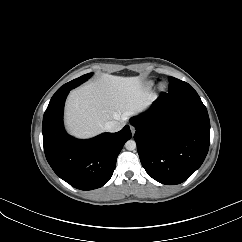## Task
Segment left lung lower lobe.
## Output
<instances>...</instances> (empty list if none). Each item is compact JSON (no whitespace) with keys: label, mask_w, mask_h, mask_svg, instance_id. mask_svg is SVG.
I'll use <instances>...</instances> for the list:
<instances>
[{"label":"left lung lower lobe","mask_w":242,"mask_h":242,"mask_svg":"<svg viewBox=\"0 0 242 242\" xmlns=\"http://www.w3.org/2000/svg\"><path fill=\"white\" fill-rule=\"evenodd\" d=\"M134 139L146 172L175 185L203 163L210 144V121L197 93L161 94L144 114L132 117Z\"/></svg>","instance_id":"left-lung-lower-lobe-1"}]
</instances>
